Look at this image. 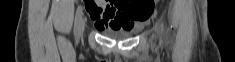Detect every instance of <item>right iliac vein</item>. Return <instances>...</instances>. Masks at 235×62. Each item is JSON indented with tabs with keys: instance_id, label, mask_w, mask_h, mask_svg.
<instances>
[{
	"instance_id": "63e3f726",
	"label": "right iliac vein",
	"mask_w": 235,
	"mask_h": 62,
	"mask_svg": "<svg viewBox=\"0 0 235 62\" xmlns=\"http://www.w3.org/2000/svg\"><path fill=\"white\" fill-rule=\"evenodd\" d=\"M84 27H85V21L82 19L81 20V23H80V26H79V29H78V32H77V35H76V38H80L83 31H84Z\"/></svg>"
}]
</instances>
